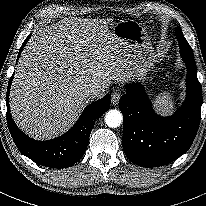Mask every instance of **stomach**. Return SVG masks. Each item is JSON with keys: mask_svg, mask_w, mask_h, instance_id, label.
<instances>
[{"mask_svg": "<svg viewBox=\"0 0 206 206\" xmlns=\"http://www.w3.org/2000/svg\"><path fill=\"white\" fill-rule=\"evenodd\" d=\"M112 33L131 50L139 66V77L152 81L155 52L146 28L134 20H121L113 26Z\"/></svg>", "mask_w": 206, "mask_h": 206, "instance_id": "obj_1", "label": "stomach"}]
</instances>
